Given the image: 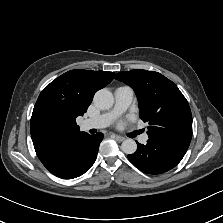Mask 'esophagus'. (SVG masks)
I'll return each instance as SVG.
<instances>
[{"instance_id": "34e87169", "label": "esophagus", "mask_w": 223, "mask_h": 223, "mask_svg": "<svg viewBox=\"0 0 223 223\" xmlns=\"http://www.w3.org/2000/svg\"><path fill=\"white\" fill-rule=\"evenodd\" d=\"M115 139H116L118 142H122V141L125 140V138L122 137V136H120V135H116V136H115Z\"/></svg>"}]
</instances>
